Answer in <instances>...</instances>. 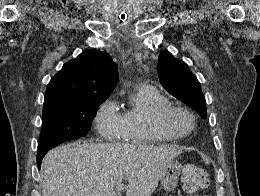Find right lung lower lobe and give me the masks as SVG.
Instances as JSON below:
<instances>
[{
  "mask_svg": "<svg viewBox=\"0 0 260 196\" xmlns=\"http://www.w3.org/2000/svg\"><path fill=\"white\" fill-rule=\"evenodd\" d=\"M49 149L51 148L37 149V163L39 168L44 155L48 152Z\"/></svg>",
  "mask_w": 260,
  "mask_h": 196,
  "instance_id": "98d812e1",
  "label": "right lung lower lobe"
}]
</instances>
